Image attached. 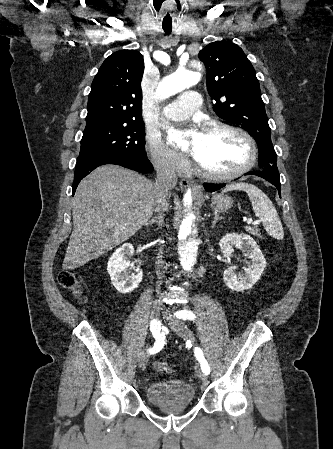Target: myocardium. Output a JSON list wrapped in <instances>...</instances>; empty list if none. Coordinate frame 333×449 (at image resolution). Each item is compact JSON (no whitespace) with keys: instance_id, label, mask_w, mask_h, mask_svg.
<instances>
[{"instance_id":"obj_1","label":"myocardium","mask_w":333,"mask_h":449,"mask_svg":"<svg viewBox=\"0 0 333 449\" xmlns=\"http://www.w3.org/2000/svg\"><path fill=\"white\" fill-rule=\"evenodd\" d=\"M204 130L205 132L223 131L233 135H237L244 140L248 147V158L246 162L240 168L227 173L211 172L203 167L197 160H195L196 168L204 177L212 181L224 182L236 179L253 168L257 160V147L254 139L247 131L223 122L210 123L205 127Z\"/></svg>"}]
</instances>
